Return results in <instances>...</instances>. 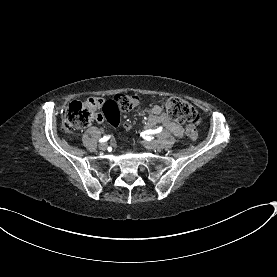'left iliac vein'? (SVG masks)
Segmentation results:
<instances>
[{
    "label": "left iliac vein",
    "mask_w": 277,
    "mask_h": 277,
    "mask_svg": "<svg viewBox=\"0 0 277 277\" xmlns=\"http://www.w3.org/2000/svg\"><path fill=\"white\" fill-rule=\"evenodd\" d=\"M143 144L149 150H155V149L159 148V142L156 140L145 141V142H143Z\"/></svg>",
    "instance_id": "obj_1"
}]
</instances>
